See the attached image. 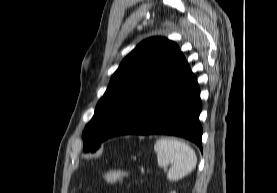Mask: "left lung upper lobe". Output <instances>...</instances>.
I'll return each instance as SVG.
<instances>
[{"label": "left lung upper lobe", "instance_id": "1", "mask_svg": "<svg viewBox=\"0 0 277 193\" xmlns=\"http://www.w3.org/2000/svg\"><path fill=\"white\" fill-rule=\"evenodd\" d=\"M187 64L172 41L154 37L140 43L112 75L82 138L84 151L94 152L121 116L141 97Z\"/></svg>", "mask_w": 277, "mask_h": 193}]
</instances>
